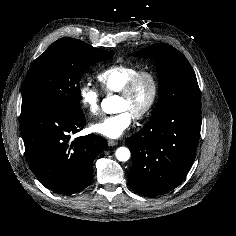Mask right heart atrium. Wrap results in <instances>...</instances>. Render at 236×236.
I'll return each instance as SVG.
<instances>
[{"label":"right heart atrium","instance_id":"d8ad5b80","mask_svg":"<svg viewBox=\"0 0 236 236\" xmlns=\"http://www.w3.org/2000/svg\"><path fill=\"white\" fill-rule=\"evenodd\" d=\"M79 98L83 108L90 115L98 116L101 112V95L96 87L83 84L79 88Z\"/></svg>","mask_w":236,"mask_h":236}]
</instances>
